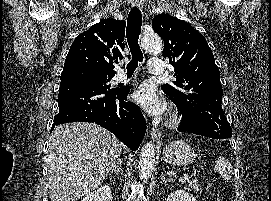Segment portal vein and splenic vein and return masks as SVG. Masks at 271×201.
<instances>
[{
  "instance_id": "obj_1",
  "label": "portal vein and splenic vein",
  "mask_w": 271,
  "mask_h": 201,
  "mask_svg": "<svg viewBox=\"0 0 271 201\" xmlns=\"http://www.w3.org/2000/svg\"><path fill=\"white\" fill-rule=\"evenodd\" d=\"M190 178H191L190 176L184 175V176L181 177L179 180H180L181 182H184V181H189Z\"/></svg>"
}]
</instances>
